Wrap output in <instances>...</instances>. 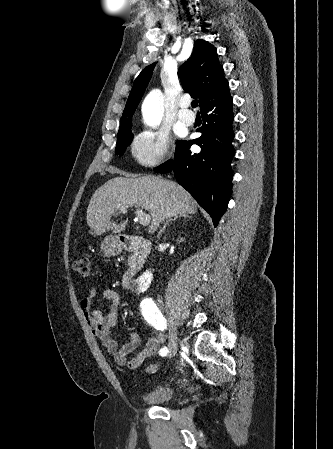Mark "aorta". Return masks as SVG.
<instances>
[{
	"label": "aorta",
	"mask_w": 333,
	"mask_h": 449,
	"mask_svg": "<svg viewBox=\"0 0 333 449\" xmlns=\"http://www.w3.org/2000/svg\"><path fill=\"white\" fill-rule=\"evenodd\" d=\"M163 97L159 91L151 92L144 101L142 113L149 126L160 124L163 116Z\"/></svg>",
	"instance_id": "aorta-1"
}]
</instances>
